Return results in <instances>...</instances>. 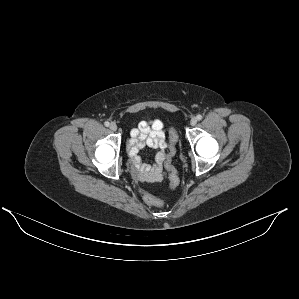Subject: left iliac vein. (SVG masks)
I'll list each match as a JSON object with an SVG mask.
<instances>
[{
    "label": "left iliac vein",
    "mask_w": 299,
    "mask_h": 299,
    "mask_svg": "<svg viewBox=\"0 0 299 299\" xmlns=\"http://www.w3.org/2000/svg\"><path fill=\"white\" fill-rule=\"evenodd\" d=\"M190 124L192 126H195L197 124V118L196 117H192L191 120H190Z\"/></svg>",
    "instance_id": "left-iliac-vein-1"
}]
</instances>
